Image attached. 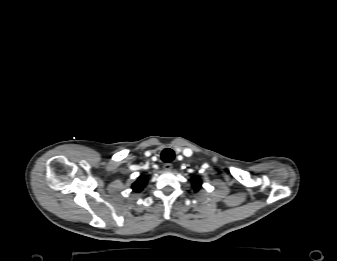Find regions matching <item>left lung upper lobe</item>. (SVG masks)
Returning a JSON list of instances; mask_svg holds the SVG:
<instances>
[{
  "label": "left lung upper lobe",
  "instance_id": "obj_1",
  "mask_svg": "<svg viewBox=\"0 0 337 261\" xmlns=\"http://www.w3.org/2000/svg\"><path fill=\"white\" fill-rule=\"evenodd\" d=\"M192 187L194 188V191H199V189L201 188L202 182L201 179L198 176H194L192 178V182H191Z\"/></svg>",
  "mask_w": 337,
  "mask_h": 261
}]
</instances>
